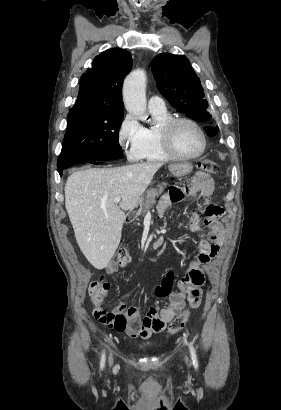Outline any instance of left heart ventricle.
<instances>
[{"instance_id":"obj_1","label":"left heart ventricle","mask_w":281,"mask_h":410,"mask_svg":"<svg viewBox=\"0 0 281 410\" xmlns=\"http://www.w3.org/2000/svg\"><path fill=\"white\" fill-rule=\"evenodd\" d=\"M172 142L183 155H194L202 147V138L195 127L188 123H178L172 131Z\"/></svg>"}]
</instances>
